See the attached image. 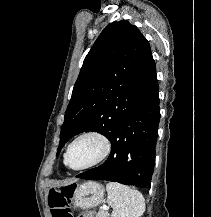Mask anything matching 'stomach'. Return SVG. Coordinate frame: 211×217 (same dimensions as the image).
<instances>
[{
  "instance_id": "obj_1",
  "label": "stomach",
  "mask_w": 211,
  "mask_h": 217,
  "mask_svg": "<svg viewBox=\"0 0 211 217\" xmlns=\"http://www.w3.org/2000/svg\"><path fill=\"white\" fill-rule=\"evenodd\" d=\"M73 199L74 204L79 208L95 207L104 199V188L98 182H85L75 188Z\"/></svg>"
}]
</instances>
